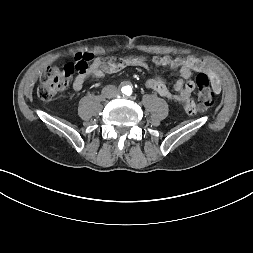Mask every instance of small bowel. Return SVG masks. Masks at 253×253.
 Listing matches in <instances>:
<instances>
[{
	"label": "small bowel",
	"instance_id": "small-bowel-1",
	"mask_svg": "<svg viewBox=\"0 0 253 253\" xmlns=\"http://www.w3.org/2000/svg\"><path fill=\"white\" fill-rule=\"evenodd\" d=\"M84 54L88 55V53ZM81 55L83 54H77L76 59L81 57ZM152 62L156 66L178 69V78L174 83V92L168 88L166 82L160 77L149 78L145 82L146 88L163 98L183 103L185 115L188 117L196 116L198 113V96L194 93L196 85L193 81L186 80L190 78L192 71L204 72L205 67L203 63L194 57L171 58L169 56H156L152 59ZM126 67H142L148 70L149 64L145 58L137 56L125 58L112 57L109 59L96 56L92 58L87 72L75 78L73 89L75 91L82 90L88 76L102 78L106 74L120 72ZM212 84L213 89L218 92L220 84L214 77H212Z\"/></svg>",
	"mask_w": 253,
	"mask_h": 253
}]
</instances>
